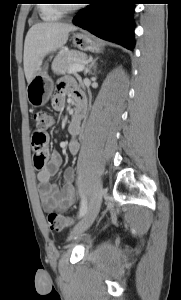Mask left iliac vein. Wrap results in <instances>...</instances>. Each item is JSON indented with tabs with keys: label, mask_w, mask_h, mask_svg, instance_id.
I'll return each mask as SVG.
<instances>
[{
	"label": "left iliac vein",
	"mask_w": 181,
	"mask_h": 300,
	"mask_svg": "<svg viewBox=\"0 0 181 300\" xmlns=\"http://www.w3.org/2000/svg\"><path fill=\"white\" fill-rule=\"evenodd\" d=\"M103 194L102 184L100 181H97L90 195L88 209L82 219L73 228L72 236L80 235L92 225L99 213Z\"/></svg>",
	"instance_id": "obj_1"
}]
</instances>
